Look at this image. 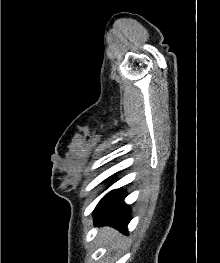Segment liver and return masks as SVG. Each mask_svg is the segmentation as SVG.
<instances>
[{"mask_svg": "<svg viewBox=\"0 0 220 263\" xmlns=\"http://www.w3.org/2000/svg\"><path fill=\"white\" fill-rule=\"evenodd\" d=\"M100 236L103 238L106 244L111 245L112 247H115L117 242L121 241V239L116 241V239L119 237V233L110 227H103L100 231Z\"/></svg>", "mask_w": 220, "mask_h": 263, "instance_id": "liver-1", "label": "liver"}]
</instances>
